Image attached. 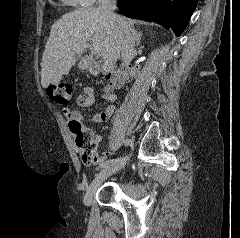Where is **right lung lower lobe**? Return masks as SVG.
I'll return each instance as SVG.
<instances>
[{"label": "right lung lower lobe", "mask_w": 240, "mask_h": 238, "mask_svg": "<svg viewBox=\"0 0 240 238\" xmlns=\"http://www.w3.org/2000/svg\"><path fill=\"white\" fill-rule=\"evenodd\" d=\"M198 0H119L121 14L170 27L179 36L187 26Z\"/></svg>", "instance_id": "98d812e1"}]
</instances>
